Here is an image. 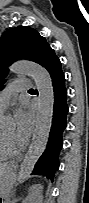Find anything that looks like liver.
<instances>
[{
    "label": "liver",
    "instance_id": "1",
    "mask_svg": "<svg viewBox=\"0 0 89 203\" xmlns=\"http://www.w3.org/2000/svg\"><path fill=\"white\" fill-rule=\"evenodd\" d=\"M7 167H8V164H7V163H2V164L0 165L1 181H2V178H3L4 174H5V171H6Z\"/></svg>",
    "mask_w": 89,
    "mask_h": 203
}]
</instances>
